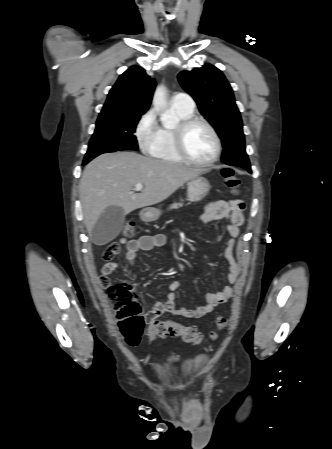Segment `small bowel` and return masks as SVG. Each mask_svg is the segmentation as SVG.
<instances>
[{
	"label": "small bowel",
	"instance_id": "obj_1",
	"mask_svg": "<svg viewBox=\"0 0 332 449\" xmlns=\"http://www.w3.org/2000/svg\"><path fill=\"white\" fill-rule=\"evenodd\" d=\"M245 203L241 200L227 201L218 199L211 202L201 216L203 223H208L217 220H227L229 223L226 227L229 240L224 247V256L229 262V272L227 274L228 284L220 291L209 292L205 295L206 303L196 309L180 308L175 306L176 290L179 287V281L175 280L169 283L168 293L165 302H156L152 310L147 313L148 321H153L163 313H171L184 318L196 319L201 318L212 312L219 305L227 302L233 294L232 285L237 281L241 271L240 264L234 258V248L236 239L240 235L239 227L244 222ZM167 242V237L164 234L141 236L136 239L126 241L121 239V243L126 244V259L134 266L139 251H154L163 246ZM118 268L115 262H107L103 265L101 270L100 281L102 283L108 281V276Z\"/></svg>",
	"mask_w": 332,
	"mask_h": 449
}]
</instances>
